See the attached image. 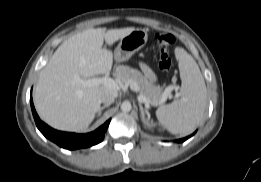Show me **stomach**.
Here are the masks:
<instances>
[{"label":"stomach","mask_w":261,"mask_h":182,"mask_svg":"<svg viewBox=\"0 0 261 182\" xmlns=\"http://www.w3.org/2000/svg\"><path fill=\"white\" fill-rule=\"evenodd\" d=\"M148 40V33L145 29H135L125 37L121 38L114 51L116 63L127 61L133 54L142 49Z\"/></svg>","instance_id":"obj_1"}]
</instances>
